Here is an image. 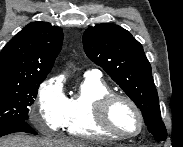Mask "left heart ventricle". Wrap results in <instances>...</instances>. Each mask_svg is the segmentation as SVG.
<instances>
[{
  "label": "left heart ventricle",
  "instance_id": "left-heart-ventricle-1",
  "mask_svg": "<svg viewBox=\"0 0 183 147\" xmlns=\"http://www.w3.org/2000/svg\"><path fill=\"white\" fill-rule=\"evenodd\" d=\"M112 125L120 132L135 134L140 128V122L134 109L125 101H115L109 112Z\"/></svg>",
  "mask_w": 183,
  "mask_h": 147
}]
</instances>
